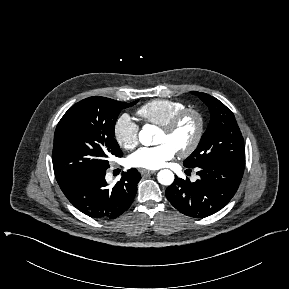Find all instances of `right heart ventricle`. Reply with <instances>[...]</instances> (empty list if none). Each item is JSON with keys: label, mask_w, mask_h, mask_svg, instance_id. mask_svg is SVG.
<instances>
[{"label": "right heart ventricle", "mask_w": 289, "mask_h": 289, "mask_svg": "<svg viewBox=\"0 0 289 289\" xmlns=\"http://www.w3.org/2000/svg\"><path fill=\"white\" fill-rule=\"evenodd\" d=\"M184 108L186 105L181 101L154 99L141 106L137 113L145 122L161 127Z\"/></svg>", "instance_id": "1"}]
</instances>
